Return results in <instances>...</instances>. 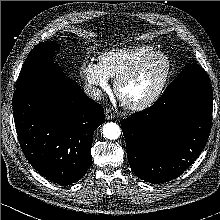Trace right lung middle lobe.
<instances>
[{
	"label": "right lung middle lobe",
	"instance_id": "right-lung-middle-lobe-1",
	"mask_svg": "<svg viewBox=\"0 0 220 220\" xmlns=\"http://www.w3.org/2000/svg\"><path fill=\"white\" fill-rule=\"evenodd\" d=\"M59 48L56 42L38 44L29 54L16 82V89L33 87L43 81H55L66 77L52 57Z\"/></svg>",
	"mask_w": 220,
	"mask_h": 220
}]
</instances>
